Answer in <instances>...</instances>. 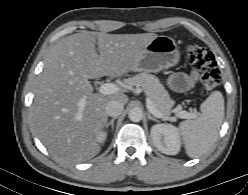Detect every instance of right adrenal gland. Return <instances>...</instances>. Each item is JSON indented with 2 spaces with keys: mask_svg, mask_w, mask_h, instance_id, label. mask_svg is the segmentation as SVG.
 Listing matches in <instances>:
<instances>
[{
  "mask_svg": "<svg viewBox=\"0 0 248 195\" xmlns=\"http://www.w3.org/2000/svg\"><path fill=\"white\" fill-rule=\"evenodd\" d=\"M116 120V117H113L109 122L106 123L105 127L106 129L111 126L112 131L114 130V121Z\"/></svg>",
  "mask_w": 248,
  "mask_h": 195,
  "instance_id": "right-adrenal-gland-1",
  "label": "right adrenal gland"
}]
</instances>
